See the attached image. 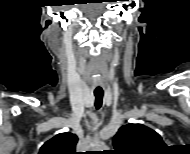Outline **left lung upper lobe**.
Masks as SVG:
<instances>
[{
	"label": "left lung upper lobe",
	"mask_w": 190,
	"mask_h": 154,
	"mask_svg": "<svg viewBox=\"0 0 190 154\" xmlns=\"http://www.w3.org/2000/svg\"><path fill=\"white\" fill-rule=\"evenodd\" d=\"M114 154H158L166 145L161 136L142 124L122 126L113 139Z\"/></svg>",
	"instance_id": "5c2ea615"
}]
</instances>
